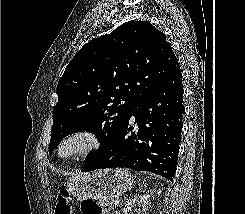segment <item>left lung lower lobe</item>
<instances>
[{
    "label": "left lung lower lobe",
    "mask_w": 245,
    "mask_h": 214,
    "mask_svg": "<svg viewBox=\"0 0 245 214\" xmlns=\"http://www.w3.org/2000/svg\"><path fill=\"white\" fill-rule=\"evenodd\" d=\"M182 73L179 64L150 93L144 96L131 115L137 132L129 131L130 118L113 142L94 154L82 172L100 168H130L149 171L173 180L182 131Z\"/></svg>",
    "instance_id": "left-lung-lower-lobe-1"
}]
</instances>
